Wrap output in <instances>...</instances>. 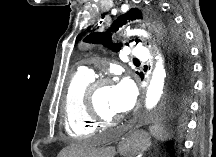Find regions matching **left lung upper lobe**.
<instances>
[{"label": "left lung upper lobe", "instance_id": "1", "mask_svg": "<svg viewBox=\"0 0 216 157\" xmlns=\"http://www.w3.org/2000/svg\"><path fill=\"white\" fill-rule=\"evenodd\" d=\"M144 19L159 34L164 43L169 61V82L175 77L180 83L185 84L191 79V63L189 50L184 41L182 33L176 29L173 21L161 14L157 8L141 11L138 8H131L125 14L118 16L106 32H94L86 36L83 41L88 43H102L118 52L122 44L112 43L111 35L117 32L120 27L128 22ZM136 43L140 42L135 39ZM141 76V75H140ZM169 89V88H168Z\"/></svg>", "mask_w": 216, "mask_h": 157}]
</instances>
